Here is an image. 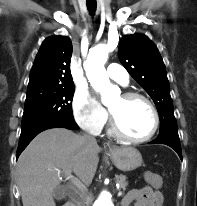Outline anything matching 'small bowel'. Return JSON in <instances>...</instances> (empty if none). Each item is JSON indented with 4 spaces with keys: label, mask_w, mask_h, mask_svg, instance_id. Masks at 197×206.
Here are the masks:
<instances>
[{
    "label": "small bowel",
    "mask_w": 197,
    "mask_h": 206,
    "mask_svg": "<svg viewBox=\"0 0 197 206\" xmlns=\"http://www.w3.org/2000/svg\"><path fill=\"white\" fill-rule=\"evenodd\" d=\"M162 206V194L152 187L133 189L122 200V206Z\"/></svg>",
    "instance_id": "obj_1"
}]
</instances>
